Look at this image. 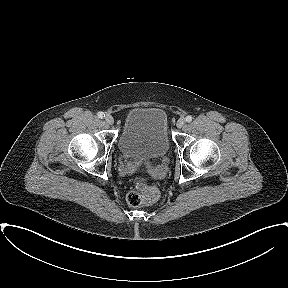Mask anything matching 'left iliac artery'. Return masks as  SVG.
I'll return each mask as SVG.
<instances>
[{"label": "left iliac artery", "mask_w": 288, "mask_h": 288, "mask_svg": "<svg viewBox=\"0 0 288 288\" xmlns=\"http://www.w3.org/2000/svg\"><path fill=\"white\" fill-rule=\"evenodd\" d=\"M192 119H193V118H192V116H190V115H188V116L186 117V121H187V122H191Z\"/></svg>", "instance_id": "obj_1"}]
</instances>
